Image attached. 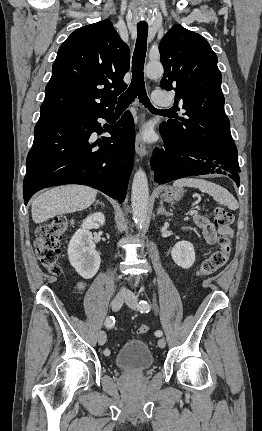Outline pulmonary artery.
<instances>
[{
    "label": "pulmonary artery",
    "instance_id": "pulmonary-artery-1",
    "mask_svg": "<svg viewBox=\"0 0 262 431\" xmlns=\"http://www.w3.org/2000/svg\"><path fill=\"white\" fill-rule=\"evenodd\" d=\"M152 100L158 106H168L169 102L162 91H154L152 93Z\"/></svg>",
    "mask_w": 262,
    "mask_h": 431
}]
</instances>
